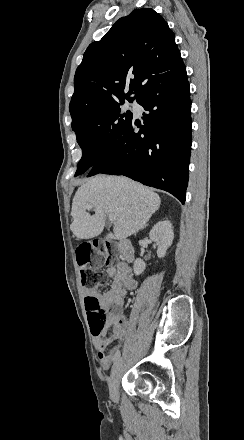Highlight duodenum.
Segmentation results:
<instances>
[{
    "mask_svg": "<svg viewBox=\"0 0 244 440\" xmlns=\"http://www.w3.org/2000/svg\"><path fill=\"white\" fill-rule=\"evenodd\" d=\"M120 256L125 262H132L134 260V251L132 244L127 239H121L117 242Z\"/></svg>",
    "mask_w": 244,
    "mask_h": 440,
    "instance_id": "obj_1",
    "label": "duodenum"
}]
</instances>
